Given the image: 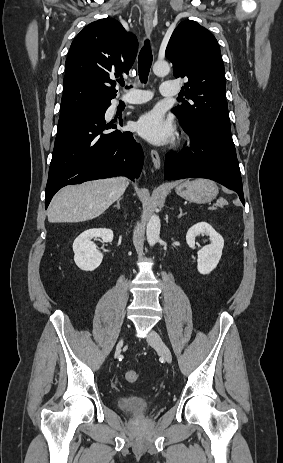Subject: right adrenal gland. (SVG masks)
Wrapping results in <instances>:
<instances>
[{"label":"right adrenal gland","mask_w":283,"mask_h":463,"mask_svg":"<svg viewBox=\"0 0 283 463\" xmlns=\"http://www.w3.org/2000/svg\"><path fill=\"white\" fill-rule=\"evenodd\" d=\"M120 201H121V198L119 200H117V204L114 205V207H117L118 209H120Z\"/></svg>","instance_id":"obj_1"}]
</instances>
